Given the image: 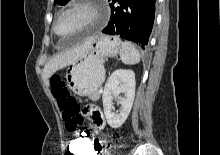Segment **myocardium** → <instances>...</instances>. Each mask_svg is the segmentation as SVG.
<instances>
[{
  "mask_svg": "<svg viewBox=\"0 0 220 155\" xmlns=\"http://www.w3.org/2000/svg\"><path fill=\"white\" fill-rule=\"evenodd\" d=\"M73 12H83L85 14V21L78 30L70 35L82 33L97 24L103 16V7L100 0H73L68 6L62 8L56 14L52 23V31L54 34L61 36L56 31L58 19L63 15Z\"/></svg>",
  "mask_w": 220,
  "mask_h": 155,
  "instance_id": "myocardium-1",
  "label": "myocardium"
}]
</instances>
